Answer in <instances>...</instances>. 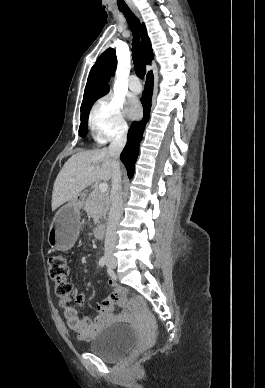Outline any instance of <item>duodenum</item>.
Instances as JSON below:
<instances>
[{
  "label": "duodenum",
  "instance_id": "410a0bca",
  "mask_svg": "<svg viewBox=\"0 0 265 388\" xmlns=\"http://www.w3.org/2000/svg\"><path fill=\"white\" fill-rule=\"evenodd\" d=\"M106 231V224L105 223H100L96 228H95V235L97 238H102L105 234Z\"/></svg>",
  "mask_w": 265,
  "mask_h": 388
}]
</instances>
